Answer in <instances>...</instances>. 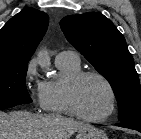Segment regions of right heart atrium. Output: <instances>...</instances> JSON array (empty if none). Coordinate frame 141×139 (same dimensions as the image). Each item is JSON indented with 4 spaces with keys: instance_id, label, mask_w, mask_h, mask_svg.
Wrapping results in <instances>:
<instances>
[{
    "instance_id": "obj_1",
    "label": "right heart atrium",
    "mask_w": 141,
    "mask_h": 139,
    "mask_svg": "<svg viewBox=\"0 0 141 139\" xmlns=\"http://www.w3.org/2000/svg\"><path fill=\"white\" fill-rule=\"evenodd\" d=\"M24 83L30 98L38 110H46L44 82L37 78L36 61L30 60L25 68Z\"/></svg>"
}]
</instances>
